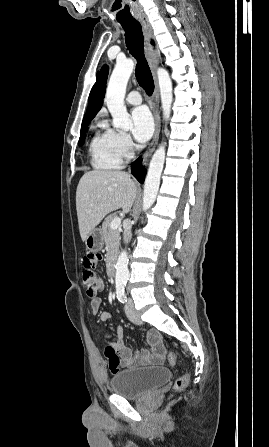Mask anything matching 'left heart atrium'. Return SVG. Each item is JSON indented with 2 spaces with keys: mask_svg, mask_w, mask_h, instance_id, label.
<instances>
[{
  "mask_svg": "<svg viewBox=\"0 0 269 447\" xmlns=\"http://www.w3.org/2000/svg\"><path fill=\"white\" fill-rule=\"evenodd\" d=\"M132 134L140 142H145L153 134L154 120L151 112L145 106L135 108L131 114Z\"/></svg>",
  "mask_w": 269,
  "mask_h": 447,
  "instance_id": "left-heart-atrium-1",
  "label": "left heart atrium"
}]
</instances>
